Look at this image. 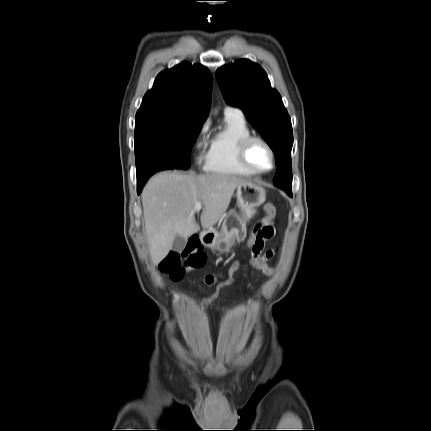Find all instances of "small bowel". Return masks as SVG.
Listing matches in <instances>:
<instances>
[{"label":"small bowel","instance_id":"c3829d8e","mask_svg":"<svg viewBox=\"0 0 431 431\" xmlns=\"http://www.w3.org/2000/svg\"><path fill=\"white\" fill-rule=\"evenodd\" d=\"M273 234H274V229L271 224L269 232L261 237H257V240L254 242V247L252 250L253 257L250 260V264L253 267H255L256 269L262 271L264 274H267V275H270L273 273V270L267 265V260L273 256V251L272 250L265 251L264 244L266 240H268L273 236ZM239 267H240L239 261H236L235 263H233L229 269L228 278L223 281L218 280L219 276L216 273L212 274V276H207L205 278V284L216 285L215 292L205 299V303L207 305H210L213 302V300L217 297L220 289L230 286L231 284L234 283L233 276H234V273L239 269Z\"/></svg>","mask_w":431,"mask_h":431}]
</instances>
